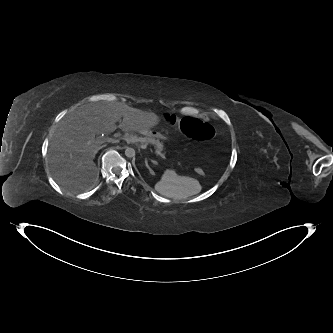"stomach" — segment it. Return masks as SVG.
<instances>
[{
  "instance_id": "obj_1",
  "label": "stomach",
  "mask_w": 333,
  "mask_h": 333,
  "mask_svg": "<svg viewBox=\"0 0 333 333\" xmlns=\"http://www.w3.org/2000/svg\"><path fill=\"white\" fill-rule=\"evenodd\" d=\"M152 136H156V137H159V138H163V135L160 134V133H155L154 135L152 134Z\"/></svg>"
}]
</instances>
